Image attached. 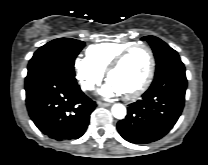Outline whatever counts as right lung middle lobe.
Wrapping results in <instances>:
<instances>
[{"label": "right lung middle lobe", "mask_w": 208, "mask_h": 165, "mask_svg": "<svg viewBox=\"0 0 208 165\" xmlns=\"http://www.w3.org/2000/svg\"><path fill=\"white\" fill-rule=\"evenodd\" d=\"M84 46L83 41L71 38L55 39L41 46L29 61L26 79L46 69H59L75 76L74 61Z\"/></svg>", "instance_id": "1"}]
</instances>
